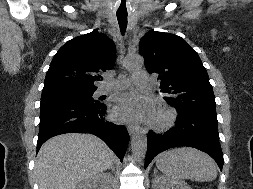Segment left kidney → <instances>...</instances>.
Instances as JSON below:
<instances>
[{
  "label": "left kidney",
  "instance_id": "obj_1",
  "mask_svg": "<svg viewBox=\"0 0 253 189\" xmlns=\"http://www.w3.org/2000/svg\"><path fill=\"white\" fill-rule=\"evenodd\" d=\"M154 189H192L183 180H173L166 176H158L153 180Z\"/></svg>",
  "mask_w": 253,
  "mask_h": 189
}]
</instances>
